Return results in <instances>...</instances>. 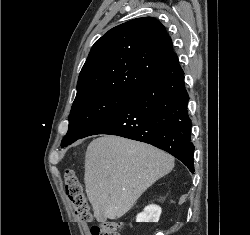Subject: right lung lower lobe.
Instances as JSON below:
<instances>
[{"mask_svg": "<svg viewBox=\"0 0 250 235\" xmlns=\"http://www.w3.org/2000/svg\"><path fill=\"white\" fill-rule=\"evenodd\" d=\"M188 100L184 72L175 55L165 70L81 138L110 134L145 142L170 153L193 173L194 145L190 140Z\"/></svg>", "mask_w": 250, "mask_h": 235, "instance_id": "obj_1", "label": "right lung lower lobe"}]
</instances>
